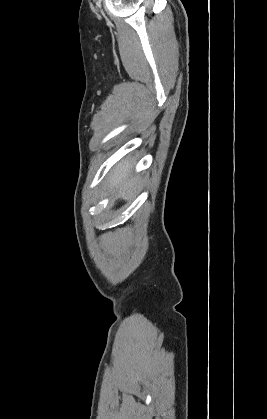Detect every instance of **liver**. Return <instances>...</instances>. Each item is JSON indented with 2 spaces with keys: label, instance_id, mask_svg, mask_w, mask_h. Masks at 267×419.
<instances>
[{
  "label": "liver",
  "instance_id": "obj_1",
  "mask_svg": "<svg viewBox=\"0 0 267 419\" xmlns=\"http://www.w3.org/2000/svg\"><path fill=\"white\" fill-rule=\"evenodd\" d=\"M133 166L128 161L116 165L114 171L110 175V187L118 193L120 197L126 198V194L131 192L137 179L131 177Z\"/></svg>",
  "mask_w": 267,
  "mask_h": 419
}]
</instances>
